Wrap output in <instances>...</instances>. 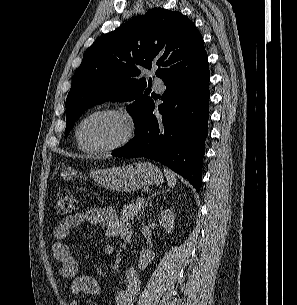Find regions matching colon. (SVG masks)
<instances>
[{
	"label": "colon",
	"instance_id": "obj_1",
	"mask_svg": "<svg viewBox=\"0 0 297 305\" xmlns=\"http://www.w3.org/2000/svg\"><path fill=\"white\" fill-rule=\"evenodd\" d=\"M78 208V202L69 191H62L54 207V216L64 218L74 213Z\"/></svg>",
	"mask_w": 297,
	"mask_h": 305
}]
</instances>
